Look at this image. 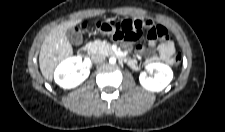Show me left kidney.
<instances>
[{
	"label": "left kidney",
	"instance_id": "5707ae66",
	"mask_svg": "<svg viewBox=\"0 0 225 132\" xmlns=\"http://www.w3.org/2000/svg\"><path fill=\"white\" fill-rule=\"evenodd\" d=\"M146 72L139 77L140 84L147 90L162 91L173 79L172 69L163 63H150L146 66Z\"/></svg>",
	"mask_w": 225,
	"mask_h": 132
}]
</instances>
